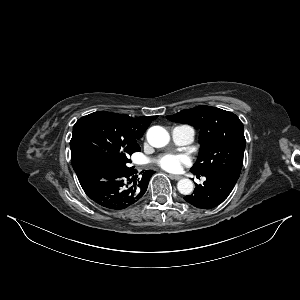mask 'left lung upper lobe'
I'll return each mask as SVG.
<instances>
[{
	"label": "left lung upper lobe",
	"mask_w": 300,
	"mask_h": 300,
	"mask_svg": "<svg viewBox=\"0 0 300 300\" xmlns=\"http://www.w3.org/2000/svg\"><path fill=\"white\" fill-rule=\"evenodd\" d=\"M166 118L200 130L201 148L191 172L202 176L211 172H225L239 177L246 140L243 124L235 114L201 105Z\"/></svg>",
	"instance_id": "left-lung-upper-lobe-1"
}]
</instances>
